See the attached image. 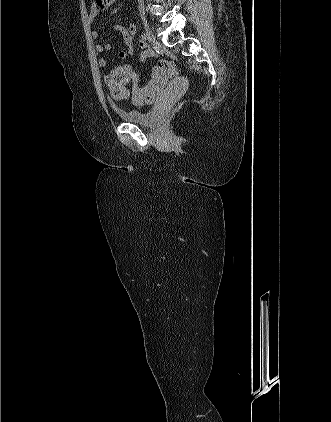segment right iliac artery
<instances>
[{
  "mask_svg": "<svg viewBox=\"0 0 331 422\" xmlns=\"http://www.w3.org/2000/svg\"><path fill=\"white\" fill-rule=\"evenodd\" d=\"M141 39H142V41H146V40H147L146 35H145V34H142V35H141Z\"/></svg>",
  "mask_w": 331,
  "mask_h": 422,
  "instance_id": "right-iliac-artery-1",
  "label": "right iliac artery"
}]
</instances>
